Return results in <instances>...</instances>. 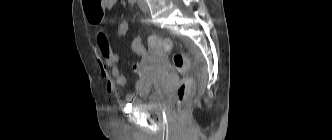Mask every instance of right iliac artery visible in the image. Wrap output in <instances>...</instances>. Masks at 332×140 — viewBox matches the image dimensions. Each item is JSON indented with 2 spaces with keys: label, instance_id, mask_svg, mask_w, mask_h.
Segmentation results:
<instances>
[{
  "label": "right iliac artery",
  "instance_id": "82829eb1",
  "mask_svg": "<svg viewBox=\"0 0 332 140\" xmlns=\"http://www.w3.org/2000/svg\"><path fill=\"white\" fill-rule=\"evenodd\" d=\"M131 4H134L136 0H128Z\"/></svg>",
  "mask_w": 332,
  "mask_h": 140
}]
</instances>
